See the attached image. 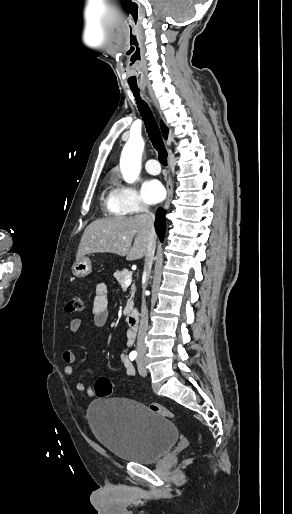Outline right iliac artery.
<instances>
[{
  "label": "right iliac artery",
  "mask_w": 292,
  "mask_h": 514,
  "mask_svg": "<svg viewBox=\"0 0 292 514\" xmlns=\"http://www.w3.org/2000/svg\"><path fill=\"white\" fill-rule=\"evenodd\" d=\"M137 357V353L135 351L130 352L129 358L131 361L135 360Z\"/></svg>",
  "instance_id": "82829eb1"
}]
</instances>
